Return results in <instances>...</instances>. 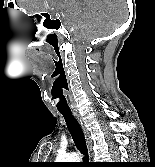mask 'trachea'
Returning a JSON list of instances; mask_svg holds the SVG:
<instances>
[{
    "mask_svg": "<svg viewBox=\"0 0 155 167\" xmlns=\"http://www.w3.org/2000/svg\"><path fill=\"white\" fill-rule=\"evenodd\" d=\"M64 117L68 130L73 138L77 149L84 155V160H88V150L85 142V136L81 126L73 116L71 111H60Z\"/></svg>",
    "mask_w": 155,
    "mask_h": 167,
    "instance_id": "1",
    "label": "trachea"
}]
</instances>
